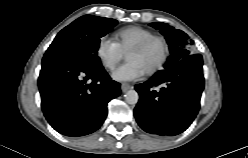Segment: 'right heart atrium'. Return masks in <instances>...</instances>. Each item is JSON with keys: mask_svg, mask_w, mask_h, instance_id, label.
I'll return each instance as SVG.
<instances>
[{"mask_svg": "<svg viewBox=\"0 0 248 158\" xmlns=\"http://www.w3.org/2000/svg\"><path fill=\"white\" fill-rule=\"evenodd\" d=\"M96 55L105 69L113 70L123 59L124 53L116 42L102 37L97 43Z\"/></svg>", "mask_w": 248, "mask_h": 158, "instance_id": "d8ad5b80", "label": "right heart atrium"}]
</instances>
